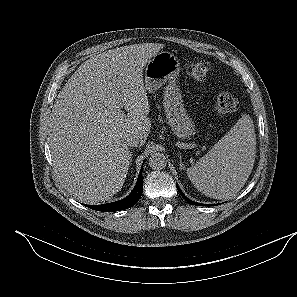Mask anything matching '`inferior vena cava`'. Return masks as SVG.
I'll list each match as a JSON object with an SVG mask.
<instances>
[{
  "label": "inferior vena cava",
  "mask_w": 297,
  "mask_h": 297,
  "mask_svg": "<svg viewBox=\"0 0 297 297\" xmlns=\"http://www.w3.org/2000/svg\"><path fill=\"white\" fill-rule=\"evenodd\" d=\"M125 143L128 147H135V146L139 145L140 139L137 135L132 134L126 138Z\"/></svg>",
  "instance_id": "602c4592"
}]
</instances>
